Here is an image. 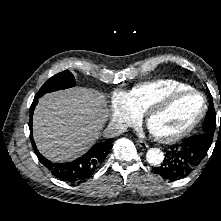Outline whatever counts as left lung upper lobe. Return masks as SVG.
I'll use <instances>...</instances> for the list:
<instances>
[{"label": "left lung upper lobe", "mask_w": 221, "mask_h": 221, "mask_svg": "<svg viewBox=\"0 0 221 221\" xmlns=\"http://www.w3.org/2000/svg\"><path fill=\"white\" fill-rule=\"evenodd\" d=\"M209 96L212 98L211 94ZM216 129V114L213 106V102L210 101L208 113L205 117V121L203 124V133L198 135L197 138L200 140H204L211 146L213 135Z\"/></svg>", "instance_id": "obj_1"}]
</instances>
